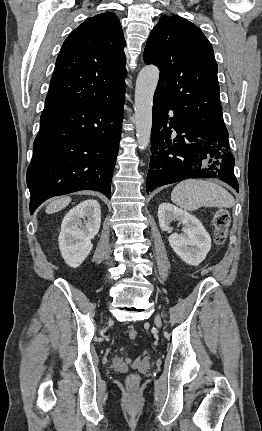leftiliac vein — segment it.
Wrapping results in <instances>:
<instances>
[{
    "mask_svg": "<svg viewBox=\"0 0 262 431\" xmlns=\"http://www.w3.org/2000/svg\"><path fill=\"white\" fill-rule=\"evenodd\" d=\"M155 324L157 325V327L161 328L162 323H161V319L159 316H156L155 318Z\"/></svg>",
    "mask_w": 262,
    "mask_h": 431,
    "instance_id": "left-iliac-vein-1",
    "label": "left iliac vein"
}]
</instances>
